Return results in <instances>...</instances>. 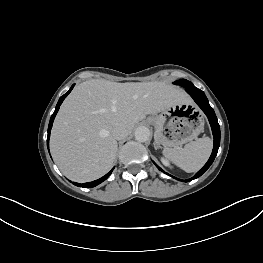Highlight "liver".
I'll return each mask as SVG.
<instances>
[{
	"label": "liver",
	"instance_id": "6515ba94",
	"mask_svg": "<svg viewBox=\"0 0 263 263\" xmlns=\"http://www.w3.org/2000/svg\"><path fill=\"white\" fill-rule=\"evenodd\" d=\"M187 100L182 89L164 82H82L55 118L50 138L54 161L70 180L98 179L113 165L118 145L112 129L117 124L130 134L146 115Z\"/></svg>",
	"mask_w": 263,
	"mask_h": 263
}]
</instances>
